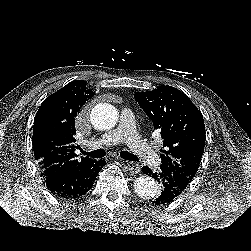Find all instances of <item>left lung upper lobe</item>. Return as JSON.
Wrapping results in <instances>:
<instances>
[{"mask_svg": "<svg viewBox=\"0 0 251 251\" xmlns=\"http://www.w3.org/2000/svg\"><path fill=\"white\" fill-rule=\"evenodd\" d=\"M135 100L161 131L162 165L191 181L201 162L205 146V125L201 112L180 90L160 86L137 92Z\"/></svg>", "mask_w": 251, "mask_h": 251, "instance_id": "left-lung-upper-lobe-1", "label": "left lung upper lobe"}]
</instances>
